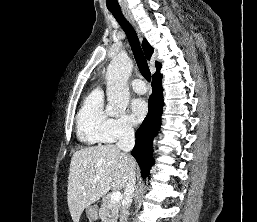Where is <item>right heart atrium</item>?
<instances>
[{
	"label": "right heart atrium",
	"instance_id": "1",
	"mask_svg": "<svg viewBox=\"0 0 257 222\" xmlns=\"http://www.w3.org/2000/svg\"><path fill=\"white\" fill-rule=\"evenodd\" d=\"M133 133V125L126 116L118 119H109L104 131L105 139L108 143L130 138Z\"/></svg>",
	"mask_w": 257,
	"mask_h": 222
}]
</instances>
